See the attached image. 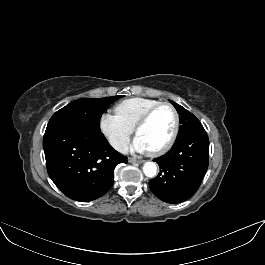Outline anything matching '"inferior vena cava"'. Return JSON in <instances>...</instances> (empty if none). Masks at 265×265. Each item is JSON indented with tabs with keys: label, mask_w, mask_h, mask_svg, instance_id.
Instances as JSON below:
<instances>
[{
	"label": "inferior vena cava",
	"mask_w": 265,
	"mask_h": 265,
	"mask_svg": "<svg viewBox=\"0 0 265 265\" xmlns=\"http://www.w3.org/2000/svg\"><path fill=\"white\" fill-rule=\"evenodd\" d=\"M110 144L114 149H116L119 152L127 151V143L123 140L112 138L110 139Z\"/></svg>",
	"instance_id": "1"
}]
</instances>
